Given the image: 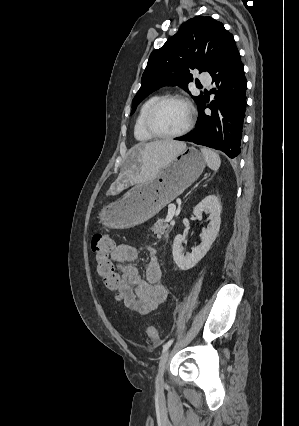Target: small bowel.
Instances as JSON below:
<instances>
[{
    "label": "small bowel",
    "instance_id": "obj_1",
    "mask_svg": "<svg viewBox=\"0 0 299 426\" xmlns=\"http://www.w3.org/2000/svg\"><path fill=\"white\" fill-rule=\"evenodd\" d=\"M149 260L145 267V277L134 262L138 257L137 249L121 244L114 247L111 261L119 271L121 279L122 302L131 310L147 315L167 299L168 290L162 279V270L156 250L148 246Z\"/></svg>",
    "mask_w": 299,
    "mask_h": 426
}]
</instances>
